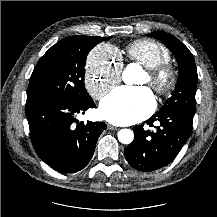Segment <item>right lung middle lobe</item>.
Masks as SVG:
<instances>
[{
    "label": "right lung middle lobe",
    "instance_id": "obj_1",
    "mask_svg": "<svg viewBox=\"0 0 217 217\" xmlns=\"http://www.w3.org/2000/svg\"><path fill=\"white\" fill-rule=\"evenodd\" d=\"M111 37L70 36L53 45L35 66L27 102L41 99L85 102V62L90 50Z\"/></svg>",
    "mask_w": 217,
    "mask_h": 217
}]
</instances>
